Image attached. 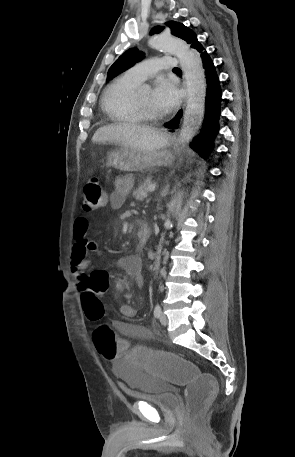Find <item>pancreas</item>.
I'll list each match as a JSON object with an SVG mask.
<instances>
[{"instance_id": "pancreas-1", "label": "pancreas", "mask_w": 295, "mask_h": 457, "mask_svg": "<svg viewBox=\"0 0 295 457\" xmlns=\"http://www.w3.org/2000/svg\"><path fill=\"white\" fill-rule=\"evenodd\" d=\"M151 184L150 181H145L144 183L140 184L136 190L133 191V196L137 200H144L147 197V188Z\"/></svg>"}]
</instances>
